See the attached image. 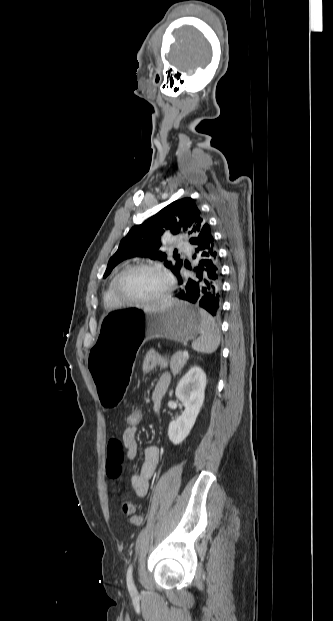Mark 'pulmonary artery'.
Instances as JSON below:
<instances>
[{
    "instance_id": "pulmonary-artery-1",
    "label": "pulmonary artery",
    "mask_w": 333,
    "mask_h": 621,
    "mask_svg": "<svg viewBox=\"0 0 333 621\" xmlns=\"http://www.w3.org/2000/svg\"><path fill=\"white\" fill-rule=\"evenodd\" d=\"M176 247H177V249H179V250H184V249H186V248H187V244H186L183 240H178V241L176 242Z\"/></svg>"
}]
</instances>
